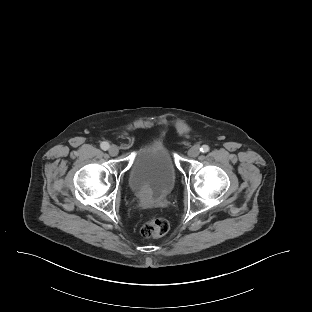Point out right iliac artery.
<instances>
[{"label":"right iliac artery","instance_id":"1","mask_svg":"<svg viewBox=\"0 0 312 312\" xmlns=\"http://www.w3.org/2000/svg\"><path fill=\"white\" fill-rule=\"evenodd\" d=\"M101 149L107 150L109 148V143L108 142H102L100 144Z\"/></svg>","mask_w":312,"mask_h":312}]
</instances>
